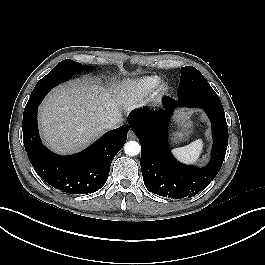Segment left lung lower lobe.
Instances as JSON below:
<instances>
[{
  "label": "left lung lower lobe",
  "instance_id": "left-lung-lower-lobe-1",
  "mask_svg": "<svg viewBox=\"0 0 265 265\" xmlns=\"http://www.w3.org/2000/svg\"><path fill=\"white\" fill-rule=\"evenodd\" d=\"M213 91L202 90V99L213 98ZM163 109H143L128 117V124L140 140L141 171L146 188L163 197L190 198L203 190L219 172L228 145V126L224 111L201 103L163 99ZM178 107L205 110L212 124L213 148L210 163L196 168L179 163L171 154L167 144V125Z\"/></svg>",
  "mask_w": 265,
  "mask_h": 265
}]
</instances>
